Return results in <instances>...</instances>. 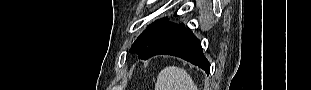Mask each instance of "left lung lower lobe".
<instances>
[{
    "mask_svg": "<svg viewBox=\"0 0 311 90\" xmlns=\"http://www.w3.org/2000/svg\"><path fill=\"white\" fill-rule=\"evenodd\" d=\"M172 55L180 57L210 72V64L202 53L200 41L185 28L184 24L176 25L169 34L153 49L148 58L155 55ZM147 58V59H148Z\"/></svg>",
    "mask_w": 311,
    "mask_h": 90,
    "instance_id": "left-lung-lower-lobe-1",
    "label": "left lung lower lobe"
}]
</instances>
